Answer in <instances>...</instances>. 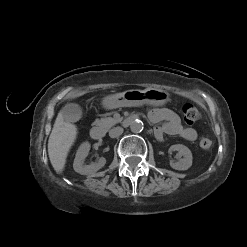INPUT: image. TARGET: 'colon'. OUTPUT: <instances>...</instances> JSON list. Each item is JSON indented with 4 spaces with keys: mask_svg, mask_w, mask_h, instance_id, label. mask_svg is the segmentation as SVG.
<instances>
[{
    "mask_svg": "<svg viewBox=\"0 0 247 247\" xmlns=\"http://www.w3.org/2000/svg\"><path fill=\"white\" fill-rule=\"evenodd\" d=\"M182 113L186 122L192 124L201 117L199 109L193 103H185L182 107ZM212 139L204 135L199 140V145L203 150H209L212 147Z\"/></svg>",
    "mask_w": 247,
    "mask_h": 247,
    "instance_id": "5ec220e1",
    "label": "colon"
}]
</instances>
